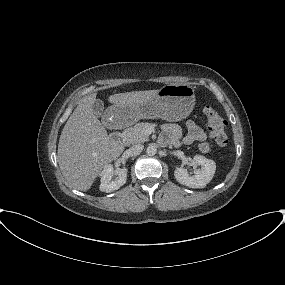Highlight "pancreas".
<instances>
[{
    "mask_svg": "<svg viewBox=\"0 0 285 285\" xmlns=\"http://www.w3.org/2000/svg\"><path fill=\"white\" fill-rule=\"evenodd\" d=\"M154 126L155 124L148 122L137 123L133 127L124 130L123 140L127 145L146 142L149 137L145 131Z\"/></svg>",
    "mask_w": 285,
    "mask_h": 285,
    "instance_id": "obj_1",
    "label": "pancreas"
}]
</instances>
